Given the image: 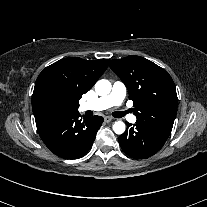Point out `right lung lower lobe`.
<instances>
[{
    "label": "right lung lower lobe",
    "instance_id": "98d812e1",
    "mask_svg": "<svg viewBox=\"0 0 207 207\" xmlns=\"http://www.w3.org/2000/svg\"><path fill=\"white\" fill-rule=\"evenodd\" d=\"M103 123L101 116L80 118L79 113L59 117L37 127L45 145L57 156L77 159L91 148Z\"/></svg>",
    "mask_w": 207,
    "mask_h": 207
}]
</instances>
